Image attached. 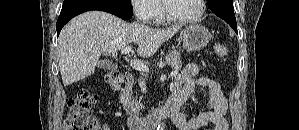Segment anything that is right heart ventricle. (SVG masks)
<instances>
[{
    "label": "right heart ventricle",
    "mask_w": 299,
    "mask_h": 130,
    "mask_svg": "<svg viewBox=\"0 0 299 130\" xmlns=\"http://www.w3.org/2000/svg\"><path fill=\"white\" fill-rule=\"evenodd\" d=\"M156 9H157V13H156L155 18L153 19V22L159 24V23H162L165 18H164L163 10H162L160 4L156 5Z\"/></svg>",
    "instance_id": "obj_1"
}]
</instances>
